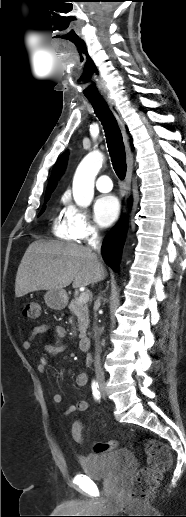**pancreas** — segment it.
<instances>
[{
    "instance_id": "obj_1",
    "label": "pancreas",
    "mask_w": 186,
    "mask_h": 517,
    "mask_svg": "<svg viewBox=\"0 0 186 517\" xmlns=\"http://www.w3.org/2000/svg\"><path fill=\"white\" fill-rule=\"evenodd\" d=\"M68 308L75 314L78 319L79 338L86 336V330L89 325V310L86 303H78L77 299H73Z\"/></svg>"
}]
</instances>
